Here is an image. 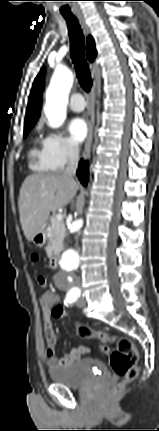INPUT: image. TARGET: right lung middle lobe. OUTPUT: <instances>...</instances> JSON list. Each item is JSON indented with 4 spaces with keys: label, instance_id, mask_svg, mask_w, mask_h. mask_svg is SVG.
Wrapping results in <instances>:
<instances>
[{
    "label": "right lung middle lobe",
    "instance_id": "obj_1",
    "mask_svg": "<svg viewBox=\"0 0 159 431\" xmlns=\"http://www.w3.org/2000/svg\"><path fill=\"white\" fill-rule=\"evenodd\" d=\"M33 126L24 127V137L27 136L28 132L31 130Z\"/></svg>",
    "mask_w": 159,
    "mask_h": 431
}]
</instances>
